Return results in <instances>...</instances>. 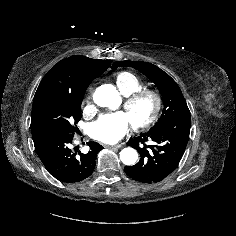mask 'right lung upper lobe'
<instances>
[{"label": "right lung upper lobe", "mask_w": 236, "mask_h": 236, "mask_svg": "<svg viewBox=\"0 0 236 236\" xmlns=\"http://www.w3.org/2000/svg\"><path fill=\"white\" fill-rule=\"evenodd\" d=\"M110 64L111 60H94L80 55L59 61L41 80L32 109L51 93L75 94L86 91L91 81L100 76Z\"/></svg>", "instance_id": "right-lung-upper-lobe-1"}]
</instances>
